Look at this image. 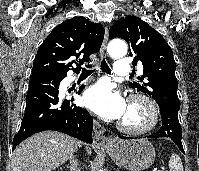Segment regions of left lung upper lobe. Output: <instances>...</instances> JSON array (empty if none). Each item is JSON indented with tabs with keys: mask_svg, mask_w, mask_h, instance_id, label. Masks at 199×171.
I'll list each match as a JSON object with an SVG mask.
<instances>
[{
	"mask_svg": "<svg viewBox=\"0 0 199 171\" xmlns=\"http://www.w3.org/2000/svg\"><path fill=\"white\" fill-rule=\"evenodd\" d=\"M109 37L124 39L130 47V56L134 57L132 64L139 62L143 65L140 83H129V87L148 94L159 107L180 109L176 63L165 39L136 16H126L115 22Z\"/></svg>",
	"mask_w": 199,
	"mask_h": 171,
	"instance_id": "5c2ea615",
	"label": "left lung upper lobe"
}]
</instances>
